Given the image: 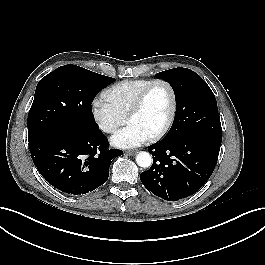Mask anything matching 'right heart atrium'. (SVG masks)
Returning a JSON list of instances; mask_svg holds the SVG:
<instances>
[{
  "label": "right heart atrium",
  "instance_id": "right-heart-atrium-1",
  "mask_svg": "<svg viewBox=\"0 0 265 265\" xmlns=\"http://www.w3.org/2000/svg\"><path fill=\"white\" fill-rule=\"evenodd\" d=\"M91 111L98 128L108 134L116 132L127 120L126 116L103 98L93 100Z\"/></svg>",
  "mask_w": 265,
  "mask_h": 265
}]
</instances>
